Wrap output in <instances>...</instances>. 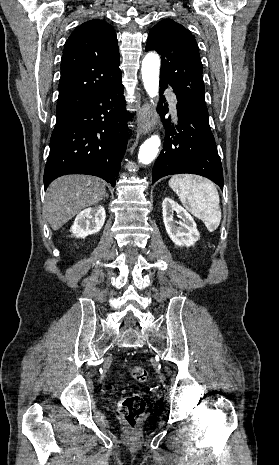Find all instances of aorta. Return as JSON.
Returning <instances> with one entry per match:
<instances>
[{
	"label": "aorta",
	"mask_w": 279,
	"mask_h": 465,
	"mask_svg": "<svg viewBox=\"0 0 279 465\" xmlns=\"http://www.w3.org/2000/svg\"><path fill=\"white\" fill-rule=\"evenodd\" d=\"M160 58L157 54L148 53L142 61V80L144 88L150 98L158 96L159 91ZM161 144L158 135H152L140 147L138 160L143 164L151 163L158 154Z\"/></svg>",
	"instance_id": "obj_1"
}]
</instances>
